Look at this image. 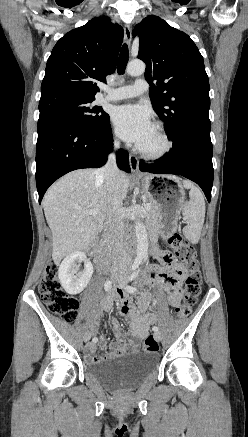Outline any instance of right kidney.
Wrapping results in <instances>:
<instances>
[{
    "instance_id": "1",
    "label": "right kidney",
    "mask_w": 248,
    "mask_h": 437,
    "mask_svg": "<svg viewBox=\"0 0 248 437\" xmlns=\"http://www.w3.org/2000/svg\"><path fill=\"white\" fill-rule=\"evenodd\" d=\"M84 262V270L78 273L77 263ZM93 266L83 252L68 255L59 266L58 277L64 290L71 295L81 293L89 283Z\"/></svg>"
}]
</instances>
